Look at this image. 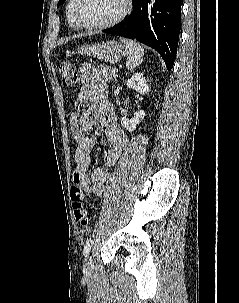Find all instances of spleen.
Returning a JSON list of instances; mask_svg holds the SVG:
<instances>
[{
	"label": "spleen",
	"mask_w": 239,
	"mask_h": 303,
	"mask_svg": "<svg viewBox=\"0 0 239 303\" xmlns=\"http://www.w3.org/2000/svg\"><path fill=\"white\" fill-rule=\"evenodd\" d=\"M120 41L124 43L129 53L126 61L127 68L132 70L138 67L143 62L144 49L136 41L124 38H120Z\"/></svg>",
	"instance_id": "1"
}]
</instances>
